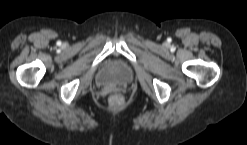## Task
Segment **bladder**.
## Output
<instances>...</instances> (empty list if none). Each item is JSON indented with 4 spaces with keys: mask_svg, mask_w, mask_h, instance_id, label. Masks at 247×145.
Listing matches in <instances>:
<instances>
[{
    "mask_svg": "<svg viewBox=\"0 0 247 145\" xmlns=\"http://www.w3.org/2000/svg\"><path fill=\"white\" fill-rule=\"evenodd\" d=\"M131 79H132L131 74L128 71L121 70V71H119L118 77L114 81L108 80V79L104 80L102 82V86H108V85H112L114 83H116L120 86H125V85L130 83Z\"/></svg>",
    "mask_w": 247,
    "mask_h": 145,
    "instance_id": "1",
    "label": "bladder"
}]
</instances>
